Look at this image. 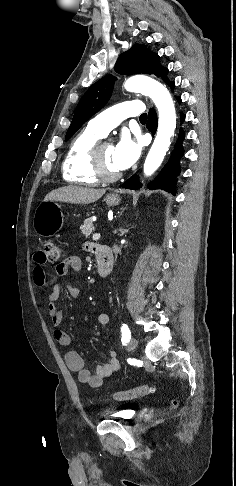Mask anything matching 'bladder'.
Returning a JSON list of instances; mask_svg holds the SVG:
<instances>
[{
  "label": "bladder",
  "instance_id": "31cf9c89",
  "mask_svg": "<svg viewBox=\"0 0 236 486\" xmlns=\"http://www.w3.org/2000/svg\"><path fill=\"white\" fill-rule=\"evenodd\" d=\"M111 417L121 421H129L134 417V413L130 410H123L112 414Z\"/></svg>",
  "mask_w": 236,
  "mask_h": 486
}]
</instances>
